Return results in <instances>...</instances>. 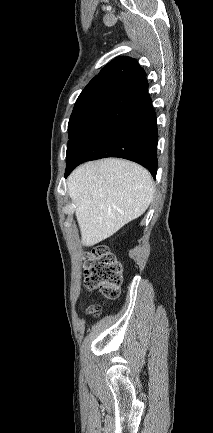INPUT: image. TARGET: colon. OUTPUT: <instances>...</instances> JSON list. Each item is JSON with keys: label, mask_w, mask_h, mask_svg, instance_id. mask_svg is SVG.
<instances>
[{"label": "colon", "mask_w": 213, "mask_h": 433, "mask_svg": "<svg viewBox=\"0 0 213 433\" xmlns=\"http://www.w3.org/2000/svg\"><path fill=\"white\" fill-rule=\"evenodd\" d=\"M85 285L99 291L108 299H115L120 292L123 279V265L106 245L93 247L87 255L85 267ZM91 315H98L100 307H89Z\"/></svg>", "instance_id": "obj_1"}]
</instances>
